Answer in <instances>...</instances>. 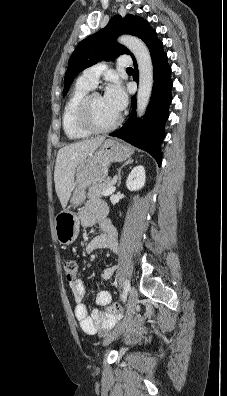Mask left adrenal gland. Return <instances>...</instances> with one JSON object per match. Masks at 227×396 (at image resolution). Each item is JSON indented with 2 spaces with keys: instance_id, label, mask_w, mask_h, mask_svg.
<instances>
[{
  "instance_id": "obj_1",
  "label": "left adrenal gland",
  "mask_w": 227,
  "mask_h": 396,
  "mask_svg": "<svg viewBox=\"0 0 227 396\" xmlns=\"http://www.w3.org/2000/svg\"><path fill=\"white\" fill-rule=\"evenodd\" d=\"M132 162H133V159H129L126 162H124L122 164V166L118 169V178H117L118 179V183H117V187H120V185H121V170H122V168L125 167L128 164H131Z\"/></svg>"
}]
</instances>
